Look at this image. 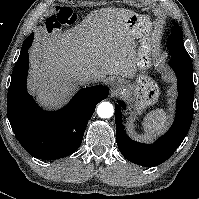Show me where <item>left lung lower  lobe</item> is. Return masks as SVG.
I'll return each mask as SVG.
<instances>
[{
  "label": "left lung lower lobe",
  "instance_id": "1",
  "mask_svg": "<svg viewBox=\"0 0 199 199\" xmlns=\"http://www.w3.org/2000/svg\"><path fill=\"white\" fill-rule=\"evenodd\" d=\"M178 80L176 116L169 131L154 144L147 145L133 141L125 131L122 120V110L126 104L118 100L115 104V123L117 131V145L122 155L129 161L145 166L154 167L170 158L186 137L193 119L194 83L193 67L184 62L171 58Z\"/></svg>",
  "mask_w": 199,
  "mask_h": 199
}]
</instances>
